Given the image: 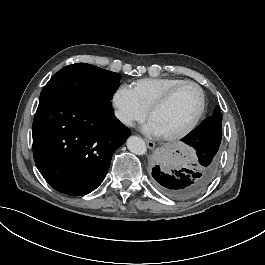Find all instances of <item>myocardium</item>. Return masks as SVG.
Wrapping results in <instances>:
<instances>
[{
	"label": "myocardium",
	"instance_id": "1",
	"mask_svg": "<svg viewBox=\"0 0 265 265\" xmlns=\"http://www.w3.org/2000/svg\"><path fill=\"white\" fill-rule=\"evenodd\" d=\"M194 86L199 94H200V106L198 109L197 114L195 115V117L192 119V121L186 126L184 127L182 130L177 131L175 133L169 134V135H165V136H161L162 140L164 141H173V140H177V139H181L185 136H187L188 134H190L195 128L196 126L199 124V122L201 121V119L204 116L205 110H206V92L203 89V87L198 84L195 81H191V80H183L180 83L174 85L172 88H170L163 96H161L159 98V100L148 110V119L151 117V115L156 112L157 110L161 109L162 107H164L170 100L171 98L184 86Z\"/></svg>",
	"mask_w": 265,
	"mask_h": 265
}]
</instances>
